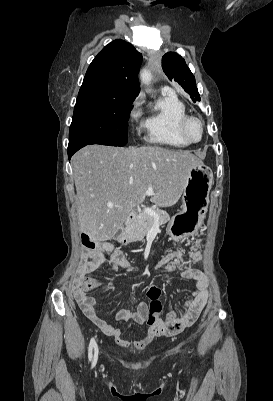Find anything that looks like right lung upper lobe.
I'll return each instance as SVG.
<instances>
[{"mask_svg":"<svg viewBox=\"0 0 273 401\" xmlns=\"http://www.w3.org/2000/svg\"><path fill=\"white\" fill-rule=\"evenodd\" d=\"M141 62L142 55L130 43L120 39L109 43L90 64L78 97L133 102L140 90Z\"/></svg>","mask_w":273,"mask_h":401,"instance_id":"right-lung-upper-lobe-1","label":"right lung upper lobe"}]
</instances>
